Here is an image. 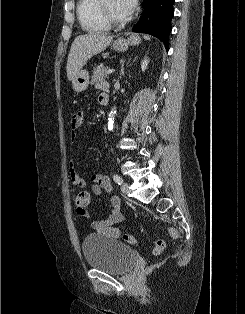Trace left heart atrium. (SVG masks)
Listing matches in <instances>:
<instances>
[{
	"label": "left heart atrium",
	"mask_w": 245,
	"mask_h": 314,
	"mask_svg": "<svg viewBox=\"0 0 245 314\" xmlns=\"http://www.w3.org/2000/svg\"><path fill=\"white\" fill-rule=\"evenodd\" d=\"M117 2L119 6L127 13H130L135 6V0H117Z\"/></svg>",
	"instance_id": "left-heart-atrium-1"
}]
</instances>
